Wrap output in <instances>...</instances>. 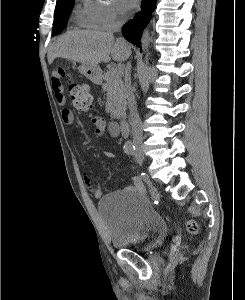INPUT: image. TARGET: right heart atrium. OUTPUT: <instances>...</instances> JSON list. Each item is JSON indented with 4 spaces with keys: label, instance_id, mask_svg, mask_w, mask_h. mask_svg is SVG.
I'll use <instances>...</instances> for the list:
<instances>
[{
    "label": "right heart atrium",
    "instance_id": "1",
    "mask_svg": "<svg viewBox=\"0 0 245 300\" xmlns=\"http://www.w3.org/2000/svg\"><path fill=\"white\" fill-rule=\"evenodd\" d=\"M84 8L95 27L109 30L124 19V12L116 0H83Z\"/></svg>",
    "mask_w": 245,
    "mask_h": 300
}]
</instances>
